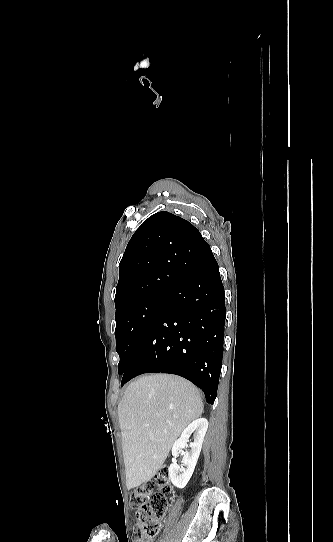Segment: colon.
Here are the masks:
<instances>
[{
  "instance_id": "1",
  "label": "colon",
  "mask_w": 333,
  "mask_h": 542,
  "mask_svg": "<svg viewBox=\"0 0 333 542\" xmlns=\"http://www.w3.org/2000/svg\"><path fill=\"white\" fill-rule=\"evenodd\" d=\"M155 487L160 489V493H154ZM170 493L171 476L166 466L158 470L154 479L146 481L132 493L130 505L137 514L130 519L131 525L135 526V529H130L128 533L130 540L140 541L158 534Z\"/></svg>"
}]
</instances>
